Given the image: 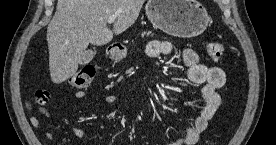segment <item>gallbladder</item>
<instances>
[{"label":"gallbladder","mask_w":276,"mask_h":145,"mask_svg":"<svg viewBox=\"0 0 276 145\" xmlns=\"http://www.w3.org/2000/svg\"><path fill=\"white\" fill-rule=\"evenodd\" d=\"M95 52L91 49L85 50L80 58V64L86 65L94 58Z\"/></svg>","instance_id":"1"}]
</instances>
